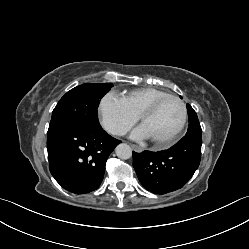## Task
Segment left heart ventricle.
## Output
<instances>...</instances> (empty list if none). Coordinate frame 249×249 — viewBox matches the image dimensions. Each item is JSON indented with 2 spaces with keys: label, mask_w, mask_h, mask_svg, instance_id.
I'll list each match as a JSON object with an SVG mask.
<instances>
[{
  "label": "left heart ventricle",
  "mask_w": 249,
  "mask_h": 249,
  "mask_svg": "<svg viewBox=\"0 0 249 249\" xmlns=\"http://www.w3.org/2000/svg\"><path fill=\"white\" fill-rule=\"evenodd\" d=\"M182 115L183 110L177 100H166L142 121L141 126L151 140L165 139L178 128Z\"/></svg>",
  "instance_id": "b2bd125f"
}]
</instances>
